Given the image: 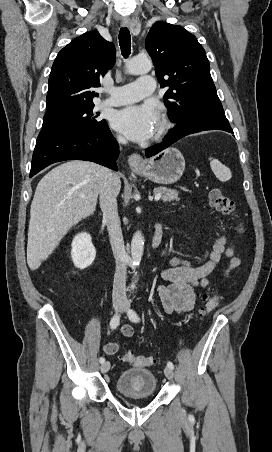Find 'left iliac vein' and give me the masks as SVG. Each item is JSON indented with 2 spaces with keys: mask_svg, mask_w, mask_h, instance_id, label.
<instances>
[{
  "mask_svg": "<svg viewBox=\"0 0 272 452\" xmlns=\"http://www.w3.org/2000/svg\"><path fill=\"white\" fill-rule=\"evenodd\" d=\"M128 309H129V303L126 301V302L123 303V306H122L121 311H122V312H127ZM164 374H165V376H166L167 379L173 380V378H174V372H173V370H172L171 368H169L168 366L164 368Z\"/></svg>",
  "mask_w": 272,
  "mask_h": 452,
  "instance_id": "1",
  "label": "left iliac vein"
}]
</instances>
